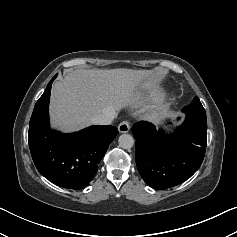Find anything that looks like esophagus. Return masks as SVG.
Here are the masks:
<instances>
[{"mask_svg":"<svg viewBox=\"0 0 237 237\" xmlns=\"http://www.w3.org/2000/svg\"><path fill=\"white\" fill-rule=\"evenodd\" d=\"M130 129V123L128 121H122L118 126L120 133H127Z\"/></svg>","mask_w":237,"mask_h":237,"instance_id":"obj_1","label":"esophagus"}]
</instances>
